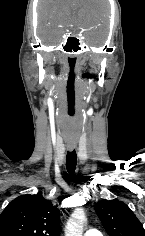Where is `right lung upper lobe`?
<instances>
[{
    "mask_svg": "<svg viewBox=\"0 0 145 236\" xmlns=\"http://www.w3.org/2000/svg\"><path fill=\"white\" fill-rule=\"evenodd\" d=\"M60 213L39 195H22L0 214V236H59Z\"/></svg>",
    "mask_w": 145,
    "mask_h": 236,
    "instance_id": "cb5924a9",
    "label": "right lung upper lobe"
}]
</instances>
